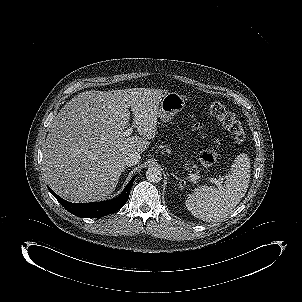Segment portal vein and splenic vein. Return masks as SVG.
Instances as JSON below:
<instances>
[{
    "instance_id": "obj_1",
    "label": "portal vein and splenic vein",
    "mask_w": 302,
    "mask_h": 302,
    "mask_svg": "<svg viewBox=\"0 0 302 302\" xmlns=\"http://www.w3.org/2000/svg\"><path fill=\"white\" fill-rule=\"evenodd\" d=\"M132 132H133V127L131 126V127H129L127 130H125V131L123 132V136H124V137H128V136H130V135L132 134ZM189 177H190L192 180H194V181H198V180L201 179V177L198 176V175H196V174H190ZM207 179H208V181H210V182L216 184L217 186H220V185H221L220 181H219L218 179H216V178L208 177Z\"/></svg>"
}]
</instances>
